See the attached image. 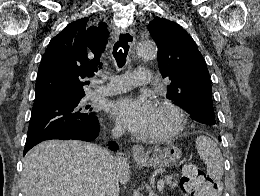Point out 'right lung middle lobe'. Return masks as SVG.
<instances>
[{
	"label": "right lung middle lobe",
	"instance_id": "right-lung-middle-lobe-1",
	"mask_svg": "<svg viewBox=\"0 0 260 196\" xmlns=\"http://www.w3.org/2000/svg\"><path fill=\"white\" fill-rule=\"evenodd\" d=\"M84 96L62 95L33 105L26 145L95 122L96 114L84 104Z\"/></svg>",
	"mask_w": 260,
	"mask_h": 196
}]
</instances>
